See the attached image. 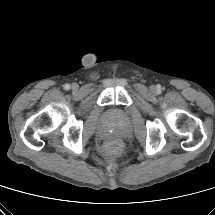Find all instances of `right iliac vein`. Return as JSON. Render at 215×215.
I'll use <instances>...</instances> for the list:
<instances>
[{
  "instance_id": "1",
  "label": "right iliac vein",
  "mask_w": 215,
  "mask_h": 215,
  "mask_svg": "<svg viewBox=\"0 0 215 215\" xmlns=\"http://www.w3.org/2000/svg\"><path fill=\"white\" fill-rule=\"evenodd\" d=\"M78 87H79V86H78L77 83H73L72 86H71L72 90H77Z\"/></svg>"
}]
</instances>
